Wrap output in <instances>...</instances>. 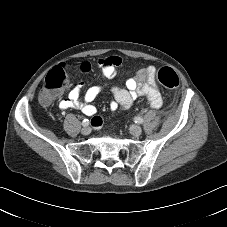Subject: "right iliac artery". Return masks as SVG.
<instances>
[{
  "label": "right iliac artery",
  "mask_w": 227,
  "mask_h": 227,
  "mask_svg": "<svg viewBox=\"0 0 227 227\" xmlns=\"http://www.w3.org/2000/svg\"><path fill=\"white\" fill-rule=\"evenodd\" d=\"M83 126H88L89 125V120L88 119H84L82 122Z\"/></svg>",
  "instance_id": "1"
}]
</instances>
